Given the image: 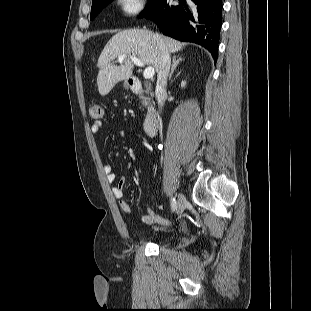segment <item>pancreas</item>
Listing matches in <instances>:
<instances>
[{"label":"pancreas","mask_w":311,"mask_h":311,"mask_svg":"<svg viewBox=\"0 0 311 311\" xmlns=\"http://www.w3.org/2000/svg\"><path fill=\"white\" fill-rule=\"evenodd\" d=\"M139 99L141 100V103L143 106L147 107L150 105V100H151L150 97L141 95Z\"/></svg>","instance_id":"cf45deb5"}]
</instances>
